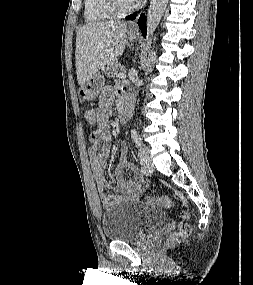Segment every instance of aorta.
Here are the masks:
<instances>
[{"mask_svg":"<svg viewBox=\"0 0 253 285\" xmlns=\"http://www.w3.org/2000/svg\"><path fill=\"white\" fill-rule=\"evenodd\" d=\"M167 3L168 0H151L147 12V39L143 53H147L150 50L154 32L161 21L167 7Z\"/></svg>","mask_w":253,"mask_h":285,"instance_id":"obj_1","label":"aorta"}]
</instances>
